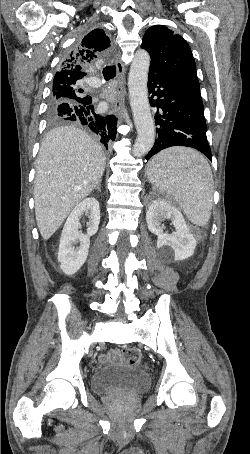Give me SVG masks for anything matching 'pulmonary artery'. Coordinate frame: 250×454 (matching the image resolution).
Returning a JSON list of instances; mask_svg holds the SVG:
<instances>
[{"mask_svg": "<svg viewBox=\"0 0 250 454\" xmlns=\"http://www.w3.org/2000/svg\"><path fill=\"white\" fill-rule=\"evenodd\" d=\"M87 83L90 85V86H93V87H99L102 85V82L99 78L97 77H89L87 79Z\"/></svg>", "mask_w": 250, "mask_h": 454, "instance_id": "1", "label": "pulmonary artery"}]
</instances>
